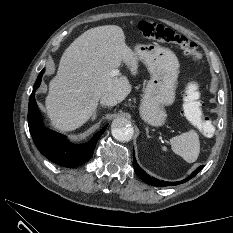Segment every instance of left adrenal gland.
Here are the masks:
<instances>
[{"instance_id":"1","label":"left adrenal gland","mask_w":233,"mask_h":233,"mask_svg":"<svg viewBox=\"0 0 233 233\" xmlns=\"http://www.w3.org/2000/svg\"><path fill=\"white\" fill-rule=\"evenodd\" d=\"M148 133H149V130H148V128L146 127V134H147V137L150 138V136H149Z\"/></svg>"}]
</instances>
